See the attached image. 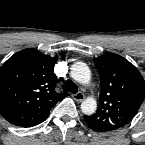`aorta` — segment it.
I'll use <instances>...</instances> for the list:
<instances>
[{
    "label": "aorta",
    "mask_w": 145,
    "mask_h": 145,
    "mask_svg": "<svg viewBox=\"0 0 145 145\" xmlns=\"http://www.w3.org/2000/svg\"><path fill=\"white\" fill-rule=\"evenodd\" d=\"M71 76L79 83L86 84L91 79L89 67L83 62H76L71 67ZM97 109V103L93 98H86L81 103V110L86 115L93 114Z\"/></svg>",
    "instance_id": "aorta-1"
}]
</instances>
